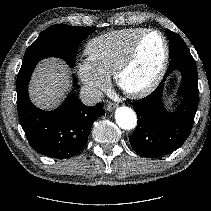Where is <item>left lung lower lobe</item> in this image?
<instances>
[{"label":"left lung lower lobe","mask_w":211,"mask_h":211,"mask_svg":"<svg viewBox=\"0 0 211 211\" xmlns=\"http://www.w3.org/2000/svg\"><path fill=\"white\" fill-rule=\"evenodd\" d=\"M169 47L179 48L182 39L173 32L168 34ZM179 71L182 80L178 97L182 102L175 112H168L162 102L165 78ZM198 74L190 52H180L171 57L163 81L147 97L132 103L138 117L137 127L130 137L133 149L142 157L156 158L179 148L188 138L198 107Z\"/></svg>","instance_id":"1"}]
</instances>
